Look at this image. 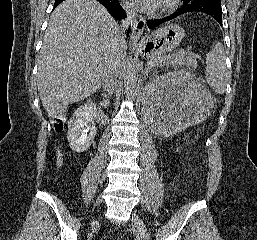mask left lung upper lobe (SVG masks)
<instances>
[{
  "mask_svg": "<svg viewBox=\"0 0 257 240\" xmlns=\"http://www.w3.org/2000/svg\"><path fill=\"white\" fill-rule=\"evenodd\" d=\"M207 3H221V0H183V5L198 6Z\"/></svg>",
  "mask_w": 257,
  "mask_h": 240,
  "instance_id": "1",
  "label": "left lung upper lobe"
}]
</instances>
